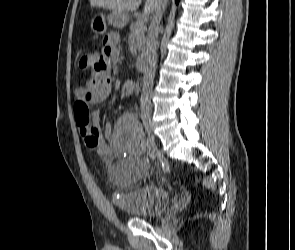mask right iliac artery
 <instances>
[{"mask_svg": "<svg viewBox=\"0 0 295 250\" xmlns=\"http://www.w3.org/2000/svg\"><path fill=\"white\" fill-rule=\"evenodd\" d=\"M145 134L148 136L150 133L147 131ZM151 142V138L148 137L145 147L148 148V154H151L152 158H154L153 154H155V147H153V144Z\"/></svg>", "mask_w": 295, "mask_h": 250, "instance_id": "obj_1", "label": "right iliac artery"}]
</instances>
